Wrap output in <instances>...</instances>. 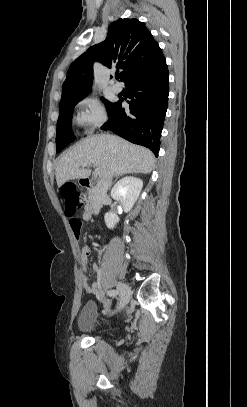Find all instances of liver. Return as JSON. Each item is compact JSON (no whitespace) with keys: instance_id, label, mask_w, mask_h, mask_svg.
<instances>
[{"instance_id":"liver-1","label":"liver","mask_w":247,"mask_h":407,"mask_svg":"<svg viewBox=\"0 0 247 407\" xmlns=\"http://www.w3.org/2000/svg\"><path fill=\"white\" fill-rule=\"evenodd\" d=\"M153 153L142 146L134 145L112 135H95L82 140L59 159L55 175L58 187L66 181L87 178L92 165L100 170V177L114 166L113 176L142 173L148 174L154 167ZM86 166L82 167L81 164ZM82 167V168H80Z\"/></svg>"}]
</instances>
